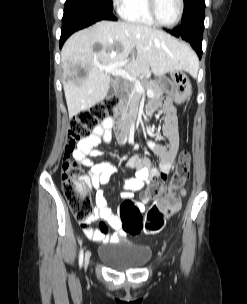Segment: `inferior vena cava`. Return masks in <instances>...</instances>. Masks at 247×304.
Segmentation results:
<instances>
[{"mask_svg":"<svg viewBox=\"0 0 247 304\" xmlns=\"http://www.w3.org/2000/svg\"><path fill=\"white\" fill-rule=\"evenodd\" d=\"M121 125L123 129H127L129 126V116L126 111H124L122 114Z\"/></svg>","mask_w":247,"mask_h":304,"instance_id":"1","label":"inferior vena cava"}]
</instances>
